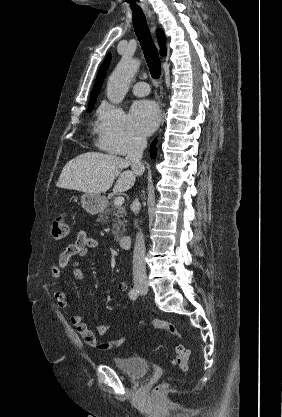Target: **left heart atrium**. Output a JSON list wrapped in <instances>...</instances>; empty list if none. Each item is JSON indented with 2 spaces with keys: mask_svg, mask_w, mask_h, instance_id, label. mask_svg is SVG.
<instances>
[{
  "mask_svg": "<svg viewBox=\"0 0 282 417\" xmlns=\"http://www.w3.org/2000/svg\"><path fill=\"white\" fill-rule=\"evenodd\" d=\"M130 118L137 130L142 133H149L158 124L160 111L154 102L144 100L133 105Z\"/></svg>",
  "mask_w": 282,
  "mask_h": 417,
  "instance_id": "1",
  "label": "left heart atrium"
}]
</instances>
